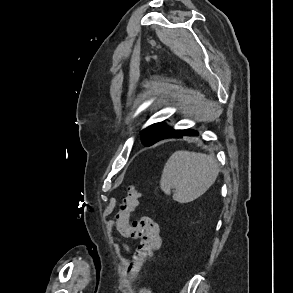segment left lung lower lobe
Wrapping results in <instances>:
<instances>
[{
    "label": "left lung lower lobe",
    "instance_id": "1",
    "mask_svg": "<svg viewBox=\"0 0 293 293\" xmlns=\"http://www.w3.org/2000/svg\"><path fill=\"white\" fill-rule=\"evenodd\" d=\"M196 136L198 132L195 130L185 129V130H172L164 136L166 138H182V136Z\"/></svg>",
    "mask_w": 293,
    "mask_h": 293
}]
</instances>
